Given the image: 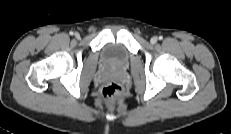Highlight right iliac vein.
<instances>
[{
    "label": "right iliac vein",
    "instance_id": "right-iliac-vein-1",
    "mask_svg": "<svg viewBox=\"0 0 231 134\" xmlns=\"http://www.w3.org/2000/svg\"><path fill=\"white\" fill-rule=\"evenodd\" d=\"M75 37H76L77 39H79V38H80V34H79V33H75Z\"/></svg>",
    "mask_w": 231,
    "mask_h": 134
}]
</instances>
